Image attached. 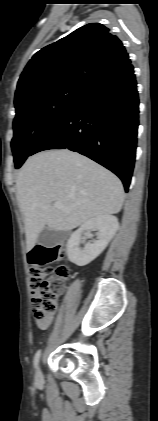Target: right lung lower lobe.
I'll list each match as a JSON object with an SVG mask.
<instances>
[{
    "instance_id": "right-lung-lower-lobe-1",
    "label": "right lung lower lobe",
    "mask_w": 158,
    "mask_h": 421,
    "mask_svg": "<svg viewBox=\"0 0 158 421\" xmlns=\"http://www.w3.org/2000/svg\"><path fill=\"white\" fill-rule=\"evenodd\" d=\"M139 99L125 53L97 72L31 152L70 149L115 173L128 191L137 145Z\"/></svg>"
}]
</instances>
